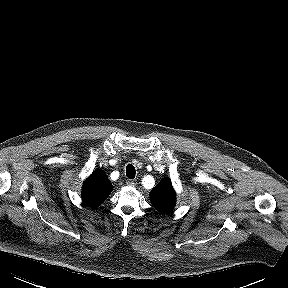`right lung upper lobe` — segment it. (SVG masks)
I'll use <instances>...</instances> for the list:
<instances>
[{
	"label": "right lung upper lobe",
	"mask_w": 288,
	"mask_h": 288,
	"mask_svg": "<svg viewBox=\"0 0 288 288\" xmlns=\"http://www.w3.org/2000/svg\"><path fill=\"white\" fill-rule=\"evenodd\" d=\"M111 190L112 185L104 171H95L84 182L82 198L89 207H97L103 203Z\"/></svg>",
	"instance_id": "obj_1"
}]
</instances>
